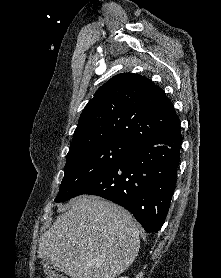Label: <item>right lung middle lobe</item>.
Returning a JSON list of instances; mask_svg holds the SVG:
<instances>
[{
	"mask_svg": "<svg viewBox=\"0 0 221 278\" xmlns=\"http://www.w3.org/2000/svg\"><path fill=\"white\" fill-rule=\"evenodd\" d=\"M131 143L120 139H96L70 149L55 202H64L75 197L80 188L120 160Z\"/></svg>",
	"mask_w": 221,
	"mask_h": 278,
	"instance_id": "obj_1",
	"label": "right lung middle lobe"
}]
</instances>
